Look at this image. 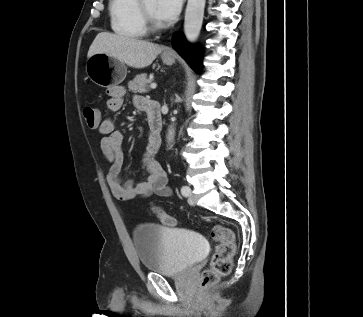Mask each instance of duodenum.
<instances>
[{"label":"duodenum","instance_id":"410a0bca","mask_svg":"<svg viewBox=\"0 0 363 317\" xmlns=\"http://www.w3.org/2000/svg\"><path fill=\"white\" fill-rule=\"evenodd\" d=\"M146 111L149 125V144L159 148L162 140V116L160 104L155 101H148Z\"/></svg>","mask_w":363,"mask_h":317}]
</instances>
